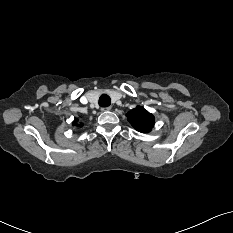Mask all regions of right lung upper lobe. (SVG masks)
Wrapping results in <instances>:
<instances>
[{
	"label": "right lung upper lobe",
	"instance_id": "right-lung-upper-lobe-1",
	"mask_svg": "<svg viewBox=\"0 0 233 233\" xmlns=\"http://www.w3.org/2000/svg\"><path fill=\"white\" fill-rule=\"evenodd\" d=\"M77 122H78V120H75V121L73 122V125H77ZM80 126H82V124H81Z\"/></svg>",
	"mask_w": 233,
	"mask_h": 233
}]
</instances>
